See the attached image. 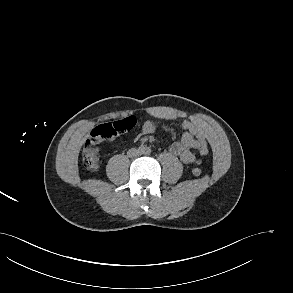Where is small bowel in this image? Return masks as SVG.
<instances>
[{"mask_svg": "<svg viewBox=\"0 0 293 293\" xmlns=\"http://www.w3.org/2000/svg\"><path fill=\"white\" fill-rule=\"evenodd\" d=\"M161 121H146L142 126L143 134H151L160 126ZM181 129L184 131L182 137L170 147V152L179 157L180 160L187 165L201 164L202 159L196 156L191 149H196L198 154L203 157L208 153V146L205 139V132L202 128L191 121H184L181 124Z\"/></svg>", "mask_w": 293, "mask_h": 293, "instance_id": "small-bowel-1", "label": "small bowel"}]
</instances>
